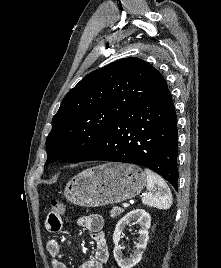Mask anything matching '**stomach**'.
Listing matches in <instances>:
<instances>
[{"instance_id": "obj_1", "label": "stomach", "mask_w": 221, "mask_h": 268, "mask_svg": "<svg viewBox=\"0 0 221 268\" xmlns=\"http://www.w3.org/2000/svg\"><path fill=\"white\" fill-rule=\"evenodd\" d=\"M145 184L146 175L139 166L110 162L74 176L66 184L64 196L78 206L99 207L131 199Z\"/></svg>"}]
</instances>
